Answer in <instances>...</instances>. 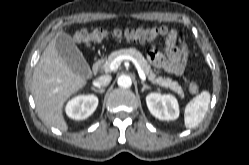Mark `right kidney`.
Listing matches in <instances>:
<instances>
[{"label":"right kidney","instance_id":"ca27d5eb","mask_svg":"<svg viewBox=\"0 0 249 165\" xmlns=\"http://www.w3.org/2000/svg\"><path fill=\"white\" fill-rule=\"evenodd\" d=\"M98 106V98L94 95H79L71 99L65 111L68 117L74 120H83L89 117Z\"/></svg>","mask_w":249,"mask_h":165}]
</instances>
